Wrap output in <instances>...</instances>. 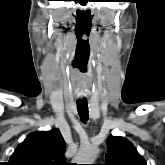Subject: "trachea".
<instances>
[{
	"label": "trachea",
	"mask_w": 165,
	"mask_h": 165,
	"mask_svg": "<svg viewBox=\"0 0 165 165\" xmlns=\"http://www.w3.org/2000/svg\"><path fill=\"white\" fill-rule=\"evenodd\" d=\"M78 114L83 122H86L89 117L87 100L77 101Z\"/></svg>",
	"instance_id": "obj_1"
}]
</instances>
